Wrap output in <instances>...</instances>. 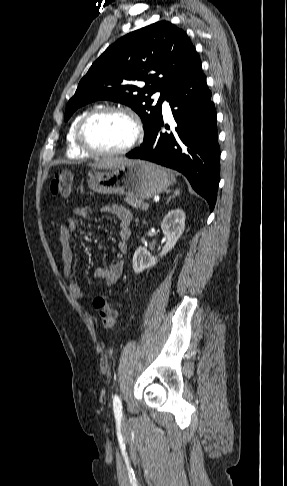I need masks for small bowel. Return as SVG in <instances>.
<instances>
[{"label":"small bowel","instance_id":"c3829d8e","mask_svg":"<svg viewBox=\"0 0 287 486\" xmlns=\"http://www.w3.org/2000/svg\"><path fill=\"white\" fill-rule=\"evenodd\" d=\"M104 212L114 215L119 222V238L117 242V251L123 255L127 253L128 241L131 236V212L120 205H110L103 208ZM76 217L82 219H90L92 211L87 207L75 208L66 217L65 222L59 226V240L61 244V258L63 261V274L67 281V287L70 294L75 299H83L84 293L81 287L75 282L72 275L73 251L71 248V238L77 229ZM123 261L112 263L106 268H97L94 272V277L101 280L106 287H111L115 284L123 271Z\"/></svg>","mask_w":287,"mask_h":486}]
</instances>
